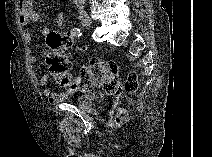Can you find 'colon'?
I'll return each mask as SVG.
<instances>
[{"label":"colon","mask_w":212,"mask_h":157,"mask_svg":"<svg viewBox=\"0 0 212 157\" xmlns=\"http://www.w3.org/2000/svg\"><path fill=\"white\" fill-rule=\"evenodd\" d=\"M46 40L50 47L46 58L48 71L62 88L70 92L98 88L110 95H118L122 91L134 93L138 89L137 75L131 72L125 83H122L118 66L112 60H93L79 73L74 74L66 54L73 44L72 38L67 34L49 33ZM125 118L126 113L119 110L115 116V122L121 123Z\"/></svg>","instance_id":"obj_1"}]
</instances>
